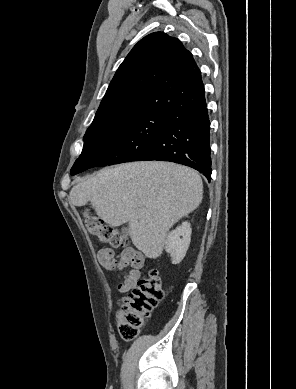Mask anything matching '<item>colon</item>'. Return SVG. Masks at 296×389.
Wrapping results in <instances>:
<instances>
[{
    "mask_svg": "<svg viewBox=\"0 0 296 389\" xmlns=\"http://www.w3.org/2000/svg\"><path fill=\"white\" fill-rule=\"evenodd\" d=\"M88 232L98 237L103 244L117 248L127 244L126 237L114 226L106 224L98 216L86 212L83 215ZM164 297L162 280L156 270H150L141 278L132 291L123 298L117 316L120 336L127 341L137 337L146 318Z\"/></svg>",
    "mask_w": 296,
    "mask_h": 389,
    "instance_id": "1",
    "label": "colon"
}]
</instances>
